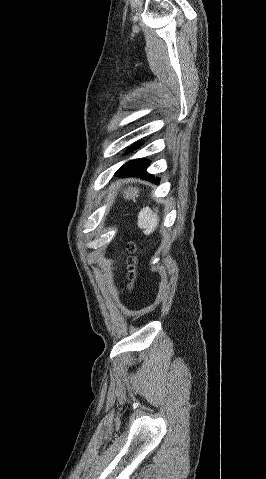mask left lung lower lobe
<instances>
[{
	"label": "left lung lower lobe",
	"instance_id": "1",
	"mask_svg": "<svg viewBox=\"0 0 266 479\" xmlns=\"http://www.w3.org/2000/svg\"><path fill=\"white\" fill-rule=\"evenodd\" d=\"M149 165H150V161L146 160L138 167H131L124 171H117L115 173V176H118L121 178L134 177V176L141 177L155 184H159L160 178H156L154 175L147 173L146 169Z\"/></svg>",
	"mask_w": 266,
	"mask_h": 479
}]
</instances>
